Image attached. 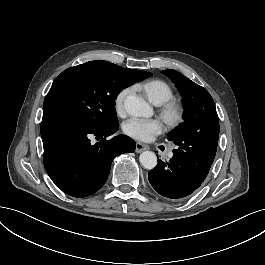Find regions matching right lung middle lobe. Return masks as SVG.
<instances>
[{
  "mask_svg": "<svg viewBox=\"0 0 265 265\" xmlns=\"http://www.w3.org/2000/svg\"><path fill=\"white\" fill-rule=\"evenodd\" d=\"M149 77L103 60L90 61L63 71L53 82L43 112H58L95 129L118 125L115 99L120 91Z\"/></svg>",
  "mask_w": 265,
  "mask_h": 265,
  "instance_id": "obj_1",
  "label": "right lung middle lobe"
}]
</instances>
